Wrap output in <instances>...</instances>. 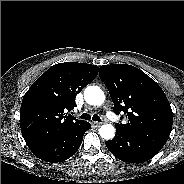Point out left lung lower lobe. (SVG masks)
<instances>
[{
    "mask_svg": "<svg viewBox=\"0 0 184 184\" xmlns=\"http://www.w3.org/2000/svg\"><path fill=\"white\" fill-rule=\"evenodd\" d=\"M106 146L116 158L130 163H143L160 151L146 141L118 127H116L115 137L107 141Z\"/></svg>",
    "mask_w": 184,
    "mask_h": 184,
    "instance_id": "left-lung-lower-lobe-1",
    "label": "left lung lower lobe"
}]
</instances>
